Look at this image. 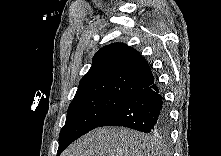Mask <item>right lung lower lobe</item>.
Instances as JSON below:
<instances>
[{
    "label": "right lung lower lobe",
    "mask_w": 221,
    "mask_h": 156,
    "mask_svg": "<svg viewBox=\"0 0 221 156\" xmlns=\"http://www.w3.org/2000/svg\"><path fill=\"white\" fill-rule=\"evenodd\" d=\"M102 126H124L141 132H166L169 113L159 88L153 83L138 91L119 105L99 127Z\"/></svg>",
    "instance_id": "obj_1"
}]
</instances>
